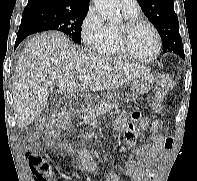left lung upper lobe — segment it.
Returning a JSON list of instances; mask_svg holds the SVG:
<instances>
[{"mask_svg": "<svg viewBox=\"0 0 197 181\" xmlns=\"http://www.w3.org/2000/svg\"><path fill=\"white\" fill-rule=\"evenodd\" d=\"M145 16L158 30L163 52H174L185 57L179 34V21L174 11L173 0H137Z\"/></svg>", "mask_w": 197, "mask_h": 181, "instance_id": "5c2ea615", "label": "left lung upper lobe"}]
</instances>
